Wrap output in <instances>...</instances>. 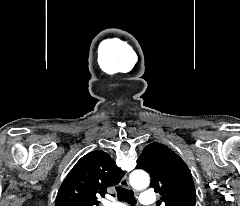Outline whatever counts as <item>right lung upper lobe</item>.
I'll return each instance as SVG.
<instances>
[{
    "label": "right lung upper lobe",
    "instance_id": "obj_1",
    "mask_svg": "<svg viewBox=\"0 0 240 206\" xmlns=\"http://www.w3.org/2000/svg\"><path fill=\"white\" fill-rule=\"evenodd\" d=\"M123 176V171L106 152H90L63 181L55 206H98L97 198L104 197L107 188L117 185Z\"/></svg>",
    "mask_w": 240,
    "mask_h": 206
}]
</instances>
